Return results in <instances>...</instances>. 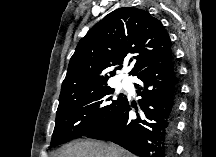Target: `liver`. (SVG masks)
<instances>
[{
  "instance_id": "liver-1",
  "label": "liver",
  "mask_w": 216,
  "mask_h": 157,
  "mask_svg": "<svg viewBox=\"0 0 216 157\" xmlns=\"http://www.w3.org/2000/svg\"><path fill=\"white\" fill-rule=\"evenodd\" d=\"M54 157H133V155L113 143L81 141L65 145Z\"/></svg>"
}]
</instances>
